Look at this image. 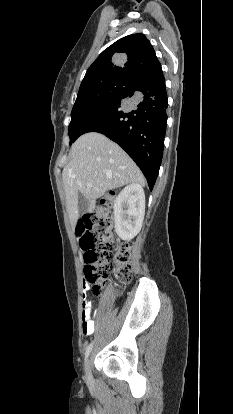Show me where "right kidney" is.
<instances>
[{
  "label": "right kidney",
  "instance_id": "ca27d5eb",
  "mask_svg": "<svg viewBox=\"0 0 233 414\" xmlns=\"http://www.w3.org/2000/svg\"><path fill=\"white\" fill-rule=\"evenodd\" d=\"M115 230L122 240L135 237L145 215V194L137 183L127 185L114 201Z\"/></svg>",
  "mask_w": 233,
  "mask_h": 414
}]
</instances>
